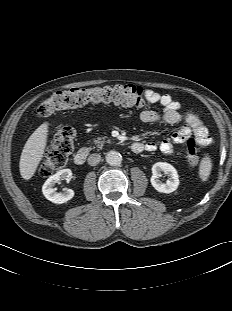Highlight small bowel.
<instances>
[{"instance_id": "small-bowel-1", "label": "small bowel", "mask_w": 232, "mask_h": 311, "mask_svg": "<svg viewBox=\"0 0 232 311\" xmlns=\"http://www.w3.org/2000/svg\"><path fill=\"white\" fill-rule=\"evenodd\" d=\"M144 95L149 103L159 104L162 107V111H141L139 118L143 123H183V126L180 129L172 133L170 137L162 140L160 143H146L144 146L146 151L152 152L159 149L163 154L171 155L174 152L175 145L185 143L192 136L202 147L211 143V139L205 125L195 112L191 110L181 111L180 103L168 94H161L153 89H146L144 91Z\"/></svg>"}]
</instances>
